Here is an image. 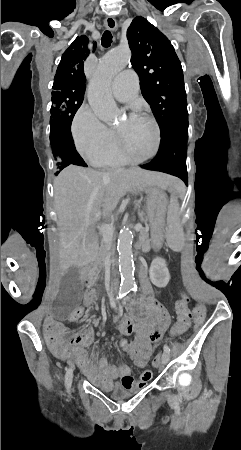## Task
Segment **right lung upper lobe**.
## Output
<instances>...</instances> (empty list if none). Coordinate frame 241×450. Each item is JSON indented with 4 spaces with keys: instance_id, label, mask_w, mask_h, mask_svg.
<instances>
[{
    "instance_id": "right-lung-upper-lobe-1",
    "label": "right lung upper lobe",
    "mask_w": 241,
    "mask_h": 450,
    "mask_svg": "<svg viewBox=\"0 0 241 450\" xmlns=\"http://www.w3.org/2000/svg\"><path fill=\"white\" fill-rule=\"evenodd\" d=\"M86 36L77 37L69 48L63 53L54 77V83H66L85 88L86 78L83 63L89 55ZM94 43L93 49H95Z\"/></svg>"
}]
</instances>
